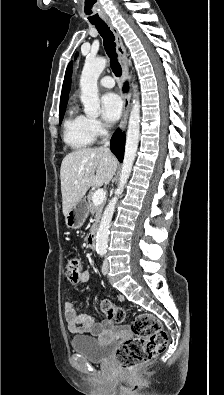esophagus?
Here are the masks:
<instances>
[{"instance_id": "obj_1", "label": "esophagus", "mask_w": 224, "mask_h": 395, "mask_svg": "<svg viewBox=\"0 0 224 395\" xmlns=\"http://www.w3.org/2000/svg\"><path fill=\"white\" fill-rule=\"evenodd\" d=\"M107 24L110 27L111 31L115 36L116 43V51L119 56V62L122 68V82L124 83L128 77V64H127V52L126 48L122 43V39L115 29V27L111 24L110 20H107ZM130 110V97L127 94H123V111H122V119L120 122V128L123 130L127 124V119Z\"/></svg>"}]
</instances>
